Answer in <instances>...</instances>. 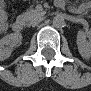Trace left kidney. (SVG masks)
<instances>
[{
  "label": "left kidney",
  "mask_w": 91,
  "mask_h": 91,
  "mask_svg": "<svg viewBox=\"0 0 91 91\" xmlns=\"http://www.w3.org/2000/svg\"><path fill=\"white\" fill-rule=\"evenodd\" d=\"M87 37L84 31H79L77 34L78 51L84 58H89L91 55V44L87 41Z\"/></svg>",
  "instance_id": "left-kidney-1"
}]
</instances>
